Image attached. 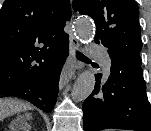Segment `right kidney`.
I'll use <instances>...</instances> for the list:
<instances>
[{
  "label": "right kidney",
  "instance_id": "1",
  "mask_svg": "<svg viewBox=\"0 0 151 131\" xmlns=\"http://www.w3.org/2000/svg\"><path fill=\"white\" fill-rule=\"evenodd\" d=\"M20 125H21V121L20 120H15L13 123H12V127H13V130H19L20 128Z\"/></svg>",
  "mask_w": 151,
  "mask_h": 131
}]
</instances>
